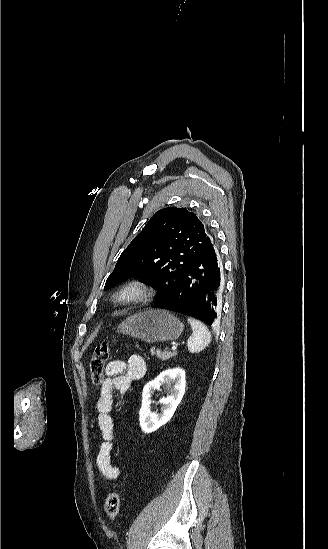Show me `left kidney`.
<instances>
[{"label": "left kidney", "instance_id": "left-kidney-1", "mask_svg": "<svg viewBox=\"0 0 328 549\" xmlns=\"http://www.w3.org/2000/svg\"><path fill=\"white\" fill-rule=\"evenodd\" d=\"M161 385L171 387L170 395L163 397L158 403L163 405L161 413H151L152 395ZM186 381L183 369H168L163 371L154 381L145 385L142 393V405L139 411L140 427L144 433H153L162 425H166L173 417L180 401L185 393Z\"/></svg>", "mask_w": 328, "mask_h": 549}]
</instances>
